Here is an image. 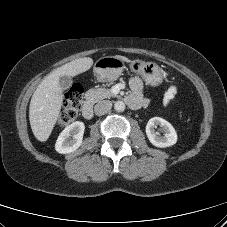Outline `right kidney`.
Listing matches in <instances>:
<instances>
[{"label": "right kidney", "instance_id": "obj_1", "mask_svg": "<svg viewBox=\"0 0 227 227\" xmlns=\"http://www.w3.org/2000/svg\"><path fill=\"white\" fill-rule=\"evenodd\" d=\"M85 125L76 121L67 126L58 136L55 150L61 154H68L80 147L83 140Z\"/></svg>", "mask_w": 227, "mask_h": 227}]
</instances>
